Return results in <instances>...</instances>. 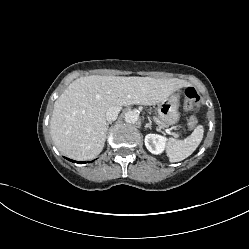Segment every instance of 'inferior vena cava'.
<instances>
[{"instance_id":"inferior-vena-cava-1","label":"inferior vena cava","mask_w":249,"mask_h":249,"mask_svg":"<svg viewBox=\"0 0 249 249\" xmlns=\"http://www.w3.org/2000/svg\"><path fill=\"white\" fill-rule=\"evenodd\" d=\"M120 111H121L120 106L110 107L106 112V120L109 122L115 121Z\"/></svg>"}]
</instances>
